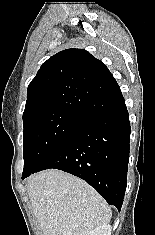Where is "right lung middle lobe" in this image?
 <instances>
[{
	"label": "right lung middle lobe",
	"instance_id": "1",
	"mask_svg": "<svg viewBox=\"0 0 155 235\" xmlns=\"http://www.w3.org/2000/svg\"><path fill=\"white\" fill-rule=\"evenodd\" d=\"M23 173L37 169L87 123L75 113L46 107L23 115Z\"/></svg>",
	"mask_w": 155,
	"mask_h": 235
}]
</instances>
